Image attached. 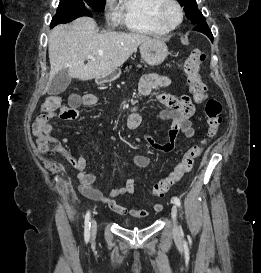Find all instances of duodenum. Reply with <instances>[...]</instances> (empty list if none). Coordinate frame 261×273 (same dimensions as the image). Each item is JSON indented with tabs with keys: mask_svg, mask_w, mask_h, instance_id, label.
I'll return each instance as SVG.
<instances>
[{
	"mask_svg": "<svg viewBox=\"0 0 261 273\" xmlns=\"http://www.w3.org/2000/svg\"><path fill=\"white\" fill-rule=\"evenodd\" d=\"M130 117L133 127H138L141 124L142 118L138 113L134 112L130 114Z\"/></svg>",
	"mask_w": 261,
	"mask_h": 273,
	"instance_id": "duodenum-1",
	"label": "duodenum"
}]
</instances>
